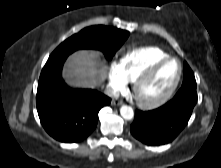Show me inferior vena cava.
Masks as SVG:
<instances>
[{
  "label": "inferior vena cava",
  "mask_w": 221,
  "mask_h": 168,
  "mask_svg": "<svg viewBox=\"0 0 221 168\" xmlns=\"http://www.w3.org/2000/svg\"><path fill=\"white\" fill-rule=\"evenodd\" d=\"M104 93L109 97H115V98L119 97V92L110 86L106 87Z\"/></svg>",
  "instance_id": "602c4592"
}]
</instances>
